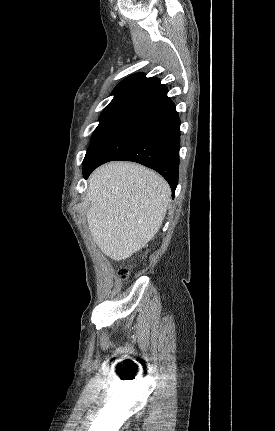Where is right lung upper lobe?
I'll return each instance as SVG.
<instances>
[{"label": "right lung upper lobe", "instance_id": "right-lung-upper-lobe-1", "mask_svg": "<svg viewBox=\"0 0 275 431\" xmlns=\"http://www.w3.org/2000/svg\"><path fill=\"white\" fill-rule=\"evenodd\" d=\"M168 89L156 77L146 78L137 73L125 78L112 92L114 98L102 113L116 111L136 112L146 105L167 95Z\"/></svg>", "mask_w": 275, "mask_h": 431}]
</instances>
